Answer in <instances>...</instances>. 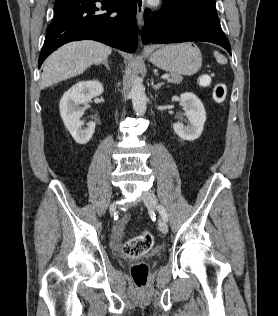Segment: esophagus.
Returning <instances> with one entry per match:
<instances>
[{"mask_svg": "<svg viewBox=\"0 0 278 316\" xmlns=\"http://www.w3.org/2000/svg\"><path fill=\"white\" fill-rule=\"evenodd\" d=\"M144 6H145V0H137V24L139 31L141 32L144 28V19H143V13H144Z\"/></svg>", "mask_w": 278, "mask_h": 316, "instance_id": "1", "label": "esophagus"}]
</instances>
